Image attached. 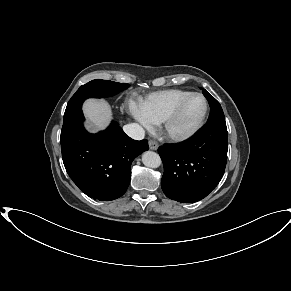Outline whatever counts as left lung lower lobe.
I'll list each match as a JSON object with an SVG mask.
<instances>
[{"instance_id":"obj_1","label":"left lung lower lobe","mask_w":291,"mask_h":291,"mask_svg":"<svg viewBox=\"0 0 291 291\" xmlns=\"http://www.w3.org/2000/svg\"><path fill=\"white\" fill-rule=\"evenodd\" d=\"M227 150L226 122L206 124L185 142L160 146L165 195L182 203L206 197L223 177Z\"/></svg>"}]
</instances>
